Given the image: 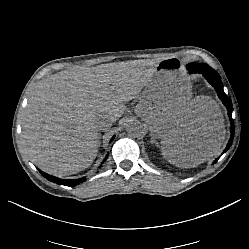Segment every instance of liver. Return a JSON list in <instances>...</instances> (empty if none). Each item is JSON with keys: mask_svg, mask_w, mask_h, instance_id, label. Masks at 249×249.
Here are the masks:
<instances>
[{"mask_svg": "<svg viewBox=\"0 0 249 249\" xmlns=\"http://www.w3.org/2000/svg\"><path fill=\"white\" fill-rule=\"evenodd\" d=\"M155 73L153 67L133 63L106 64L74 67L39 82L22 119V143L30 160L52 174L81 172L98 152L95 120L107 114L117 121L134 97V114L161 146H168V161L188 167L213 158L226 135L219 106L206 96L171 99L165 85L139 97Z\"/></svg>", "mask_w": 249, "mask_h": 249, "instance_id": "1", "label": "liver"}]
</instances>
